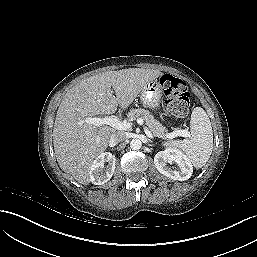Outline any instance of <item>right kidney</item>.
<instances>
[{
	"label": "right kidney",
	"mask_w": 257,
	"mask_h": 257,
	"mask_svg": "<svg viewBox=\"0 0 257 257\" xmlns=\"http://www.w3.org/2000/svg\"><path fill=\"white\" fill-rule=\"evenodd\" d=\"M116 158L110 152L98 155L90 166V180L95 185L108 182L114 174Z\"/></svg>",
	"instance_id": "obj_1"
}]
</instances>
